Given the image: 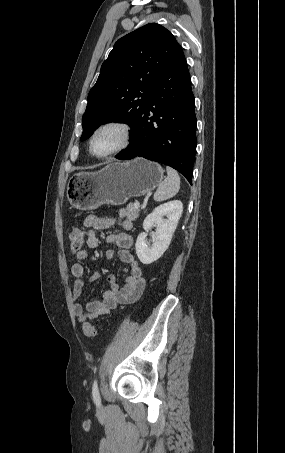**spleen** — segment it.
Returning <instances> with one entry per match:
<instances>
[{
	"label": "spleen",
	"mask_w": 285,
	"mask_h": 453,
	"mask_svg": "<svg viewBox=\"0 0 285 453\" xmlns=\"http://www.w3.org/2000/svg\"><path fill=\"white\" fill-rule=\"evenodd\" d=\"M167 177L160 183L157 191L154 194V200L161 202L175 196L180 189V177L178 173L170 168L166 167Z\"/></svg>",
	"instance_id": "1"
}]
</instances>
